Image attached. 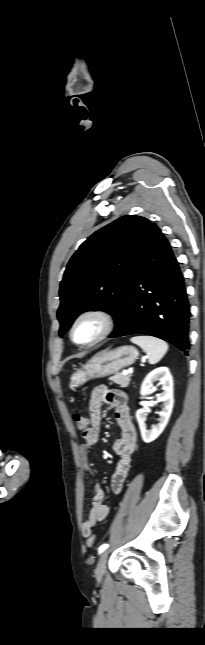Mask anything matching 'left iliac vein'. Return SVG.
<instances>
[{
    "mask_svg": "<svg viewBox=\"0 0 205 645\" xmlns=\"http://www.w3.org/2000/svg\"><path fill=\"white\" fill-rule=\"evenodd\" d=\"M108 555H109V551L105 550L101 553L100 558L98 560V563L95 569V577L98 581H101L105 574Z\"/></svg>",
    "mask_w": 205,
    "mask_h": 645,
    "instance_id": "left-iliac-vein-1",
    "label": "left iliac vein"
}]
</instances>
